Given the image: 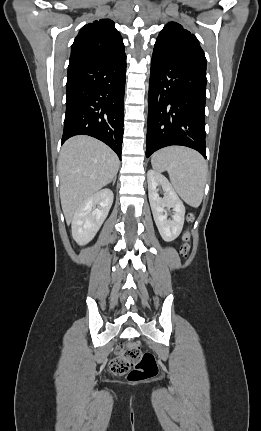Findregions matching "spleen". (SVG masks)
Instances as JSON below:
<instances>
[{"label": "spleen", "mask_w": 261, "mask_h": 431, "mask_svg": "<svg viewBox=\"0 0 261 431\" xmlns=\"http://www.w3.org/2000/svg\"><path fill=\"white\" fill-rule=\"evenodd\" d=\"M155 171H167L171 183L188 205L199 207L204 194L207 165L203 157L184 147H168L153 154L151 159Z\"/></svg>", "instance_id": "1"}]
</instances>
